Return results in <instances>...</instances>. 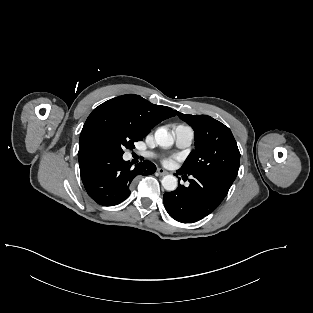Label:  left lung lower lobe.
Instances as JSON below:
<instances>
[{
  "instance_id": "left-lung-lower-lobe-1",
  "label": "left lung lower lobe",
  "mask_w": 313,
  "mask_h": 313,
  "mask_svg": "<svg viewBox=\"0 0 313 313\" xmlns=\"http://www.w3.org/2000/svg\"><path fill=\"white\" fill-rule=\"evenodd\" d=\"M178 174H184L180 170ZM189 187L178 186L163 196L168 214L182 223H193L213 212L227 195L232 183L217 177L193 176Z\"/></svg>"
}]
</instances>
